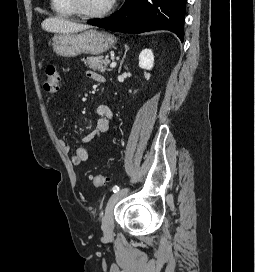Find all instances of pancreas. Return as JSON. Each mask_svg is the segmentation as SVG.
Here are the masks:
<instances>
[{
  "mask_svg": "<svg viewBox=\"0 0 255 272\" xmlns=\"http://www.w3.org/2000/svg\"><path fill=\"white\" fill-rule=\"evenodd\" d=\"M85 66L94 70L99 71L100 73H105V71H111V69L107 68V65L109 64L108 59H103L102 56L97 57H87V59H82Z\"/></svg>",
  "mask_w": 255,
  "mask_h": 272,
  "instance_id": "1",
  "label": "pancreas"
}]
</instances>
